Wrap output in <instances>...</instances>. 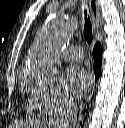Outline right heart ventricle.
I'll use <instances>...</instances> for the list:
<instances>
[{"label": "right heart ventricle", "mask_w": 125, "mask_h": 128, "mask_svg": "<svg viewBox=\"0 0 125 128\" xmlns=\"http://www.w3.org/2000/svg\"><path fill=\"white\" fill-rule=\"evenodd\" d=\"M26 110L29 112V113H32V112H38V113H41L42 111L37 107V105L33 102V100L30 99L26 102Z\"/></svg>", "instance_id": "1"}]
</instances>
